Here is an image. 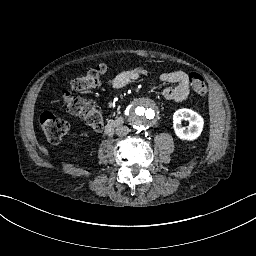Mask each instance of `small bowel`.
Returning a JSON list of instances; mask_svg holds the SVG:
<instances>
[{"label":"small bowel","instance_id":"1","mask_svg":"<svg viewBox=\"0 0 256 256\" xmlns=\"http://www.w3.org/2000/svg\"><path fill=\"white\" fill-rule=\"evenodd\" d=\"M144 70L140 68L126 69L117 73L111 78L108 84L114 89H122L130 82L136 80ZM160 80L164 83L173 84V86L163 89L162 96L167 100L182 101L190 90V81L188 75L182 71L166 72L160 75Z\"/></svg>","mask_w":256,"mask_h":256}]
</instances>
